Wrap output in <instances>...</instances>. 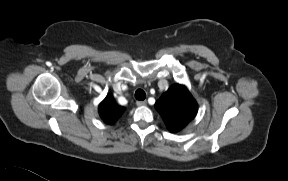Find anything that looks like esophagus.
Returning <instances> with one entry per match:
<instances>
[{"instance_id": "esophagus-1", "label": "esophagus", "mask_w": 288, "mask_h": 181, "mask_svg": "<svg viewBox=\"0 0 288 181\" xmlns=\"http://www.w3.org/2000/svg\"><path fill=\"white\" fill-rule=\"evenodd\" d=\"M146 104H147L146 101H137V102H136V105L139 106V107H140V106H145Z\"/></svg>"}]
</instances>
